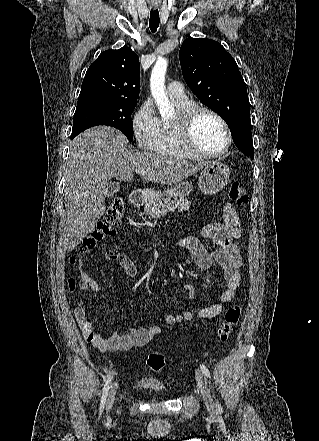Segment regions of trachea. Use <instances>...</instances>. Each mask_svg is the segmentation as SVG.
<instances>
[{
    "mask_svg": "<svg viewBox=\"0 0 319 441\" xmlns=\"http://www.w3.org/2000/svg\"><path fill=\"white\" fill-rule=\"evenodd\" d=\"M160 18L158 9L150 11L149 27L152 32H156L159 27Z\"/></svg>",
    "mask_w": 319,
    "mask_h": 441,
    "instance_id": "obj_1",
    "label": "trachea"
}]
</instances>
